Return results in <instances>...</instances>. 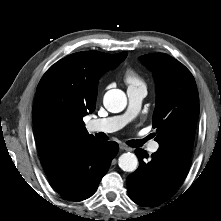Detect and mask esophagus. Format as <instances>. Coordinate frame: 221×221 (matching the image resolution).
<instances>
[{
	"label": "esophagus",
	"mask_w": 221,
	"mask_h": 221,
	"mask_svg": "<svg viewBox=\"0 0 221 221\" xmlns=\"http://www.w3.org/2000/svg\"><path fill=\"white\" fill-rule=\"evenodd\" d=\"M120 149L125 150V151H132V148L125 144H120Z\"/></svg>",
	"instance_id": "1"
}]
</instances>
